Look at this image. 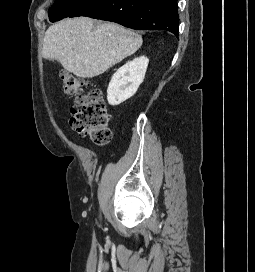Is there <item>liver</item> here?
Listing matches in <instances>:
<instances>
[{
    "mask_svg": "<svg viewBox=\"0 0 255 272\" xmlns=\"http://www.w3.org/2000/svg\"><path fill=\"white\" fill-rule=\"evenodd\" d=\"M88 17L62 20L45 32L42 56L58 60L64 69L78 77L101 75L133 54L142 37L116 23H99Z\"/></svg>",
    "mask_w": 255,
    "mask_h": 272,
    "instance_id": "liver-1",
    "label": "liver"
}]
</instances>
